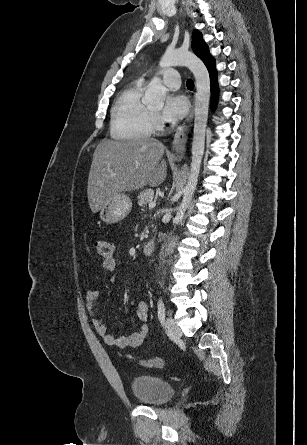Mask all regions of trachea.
Segmentation results:
<instances>
[{
	"mask_svg": "<svg viewBox=\"0 0 307 445\" xmlns=\"http://www.w3.org/2000/svg\"><path fill=\"white\" fill-rule=\"evenodd\" d=\"M186 85H187V88H188L189 90H193V88H194V82H193L192 79H188Z\"/></svg>",
	"mask_w": 307,
	"mask_h": 445,
	"instance_id": "3493384b",
	"label": "trachea"
}]
</instances>
